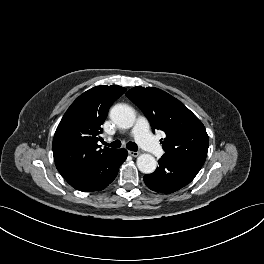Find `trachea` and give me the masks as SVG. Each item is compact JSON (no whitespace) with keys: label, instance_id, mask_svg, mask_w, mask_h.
I'll use <instances>...</instances> for the list:
<instances>
[{"label":"trachea","instance_id":"obj_1","mask_svg":"<svg viewBox=\"0 0 264 264\" xmlns=\"http://www.w3.org/2000/svg\"><path fill=\"white\" fill-rule=\"evenodd\" d=\"M104 145H106V146H109V147H112V148H119V147H121V142L120 141H114V142H112V143H110V144H107V143H103ZM126 147L129 149V150H131V151H137L138 150V147H137V145L135 144V143H133V142H128L127 144H126Z\"/></svg>","mask_w":264,"mask_h":264}]
</instances>
